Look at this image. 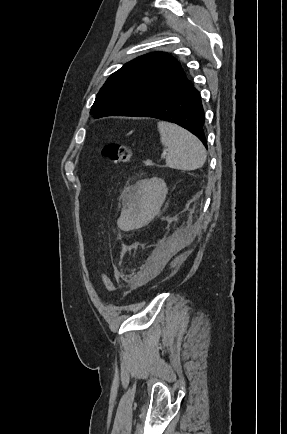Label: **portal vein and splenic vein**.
Listing matches in <instances>:
<instances>
[{"label":"portal vein and splenic vein","instance_id":"18ae733b","mask_svg":"<svg viewBox=\"0 0 287 434\" xmlns=\"http://www.w3.org/2000/svg\"><path fill=\"white\" fill-rule=\"evenodd\" d=\"M166 153H167V150H164V151H163V154L165 155Z\"/></svg>","mask_w":287,"mask_h":434}]
</instances>
